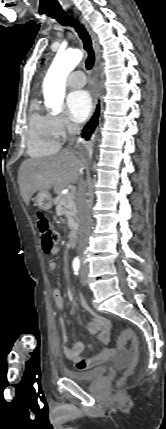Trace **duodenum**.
I'll return each mask as SVG.
<instances>
[{
  "mask_svg": "<svg viewBox=\"0 0 166 429\" xmlns=\"http://www.w3.org/2000/svg\"><path fill=\"white\" fill-rule=\"evenodd\" d=\"M76 241H77V233L73 232L69 235L68 238V245L70 248H74L76 245Z\"/></svg>",
  "mask_w": 166,
  "mask_h": 429,
  "instance_id": "obj_1",
  "label": "duodenum"
}]
</instances>
